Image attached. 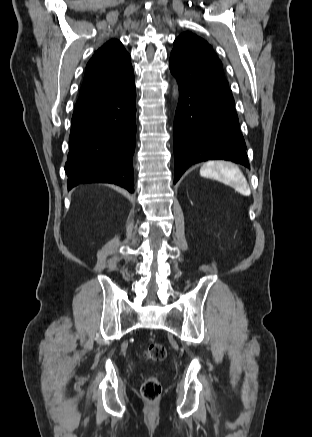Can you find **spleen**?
Here are the masks:
<instances>
[{"instance_id":"3e777b00","label":"spleen","mask_w":312,"mask_h":437,"mask_svg":"<svg viewBox=\"0 0 312 437\" xmlns=\"http://www.w3.org/2000/svg\"><path fill=\"white\" fill-rule=\"evenodd\" d=\"M200 175L219 180L243 195H249L251 192L243 173L232 163L209 161L201 167Z\"/></svg>"}]
</instances>
